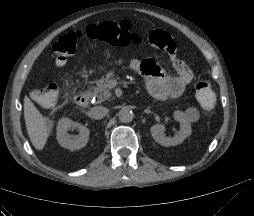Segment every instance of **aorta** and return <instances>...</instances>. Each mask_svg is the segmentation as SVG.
Returning a JSON list of instances; mask_svg holds the SVG:
<instances>
[{
    "mask_svg": "<svg viewBox=\"0 0 254 216\" xmlns=\"http://www.w3.org/2000/svg\"><path fill=\"white\" fill-rule=\"evenodd\" d=\"M118 118L122 123H129L133 120L134 114L129 108H122L118 113Z\"/></svg>",
    "mask_w": 254,
    "mask_h": 216,
    "instance_id": "obj_1",
    "label": "aorta"
}]
</instances>
